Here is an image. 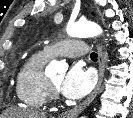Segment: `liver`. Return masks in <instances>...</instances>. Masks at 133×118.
I'll return each instance as SVG.
<instances>
[{
  "label": "liver",
  "instance_id": "6515ba94",
  "mask_svg": "<svg viewBox=\"0 0 133 118\" xmlns=\"http://www.w3.org/2000/svg\"><path fill=\"white\" fill-rule=\"evenodd\" d=\"M47 118L44 112L28 108H12L2 114V118Z\"/></svg>",
  "mask_w": 133,
  "mask_h": 118
}]
</instances>
